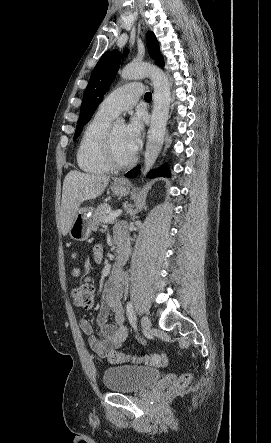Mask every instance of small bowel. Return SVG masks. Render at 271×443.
<instances>
[{
    "mask_svg": "<svg viewBox=\"0 0 271 443\" xmlns=\"http://www.w3.org/2000/svg\"><path fill=\"white\" fill-rule=\"evenodd\" d=\"M94 258L96 261L101 260L102 249L100 246L95 248ZM123 290L122 273L119 269H114L104 287L102 302L95 323L87 319L80 321V328L88 336L90 348L101 357H106L111 351L119 348L128 335L122 305ZM110 312H113L114 323L108 322ZM96 328L98 334L95 333Z\"/></svg>",
    "mask_w": 271,
    "mask_h": 443,
    "instance_id": "c3829d8e",
    "label": "small bowel"
}]
</instances>
